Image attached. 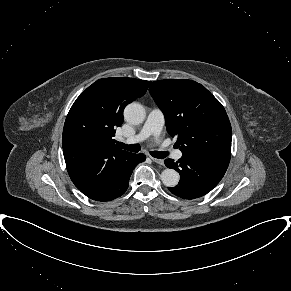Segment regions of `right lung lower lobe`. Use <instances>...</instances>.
<instances>
[{
  "mask_svg": "<svg viewBox=\"0 0 291 291\" xmlns=\"http://www.w3.org/2000/svg\"><path fill=\"white\" fill-rule=\"evenodd\" d=\"M146 156L143 154H131L120 162L112 172L111 177L94 194L88 196L96 201H111L123 195L129 186V179L134 167L143 161Z\"/></svg>",
  "mask_w": 291,
  "mask_h": 291,
  "instance_id": "98d812e1",
  "label": "right lung lower lobe"
}]
</instances>
